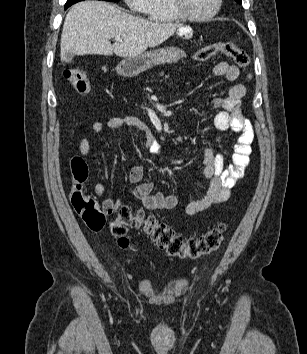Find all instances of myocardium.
Here are the masks:
<instances>
[{"label": "myocardium", "instance_id": "myocardium-1", "mask_svg": "<svg viewBox=\"0 0 307 354\" xmlns=\"http://www.w3.org/2000/svg\"><path fill=\"white\" fill-rule=\"evenodd\" d=\"M171 5L175 13L180 17V19L203 22L214 18L221 9L223 0H216L215 6L211 12L205 15H192L185 8V0H170Z\"/></svg>", "mask_w": 307, "mask_h": 354}]
</instances>
